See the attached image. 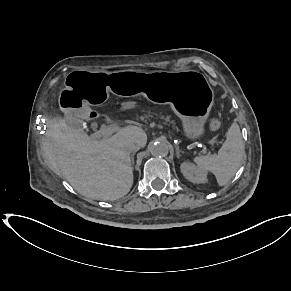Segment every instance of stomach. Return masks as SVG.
Returning <instances> with one entry per match:
<instances>
[{"mask_svg": "<svg viewBox=\"0 0 291 291\" xmlns=\"http://www.w3.org/2000/svg\"><path fill=\"white\" fill-rule=\"evenodd\" d=\"M121 96L143 94L148 99L169 103L182 120L189 139L205 133V123L214 104V93L203 74L195 70L116 72L73 71L60 92V109L75 116H85L89 105L108 100L110 93Z\"/></svg>", "mask_w": 291, "mask_h": 291, "instance_id": "obj_1", "label": "stomach"}]
</instances>
